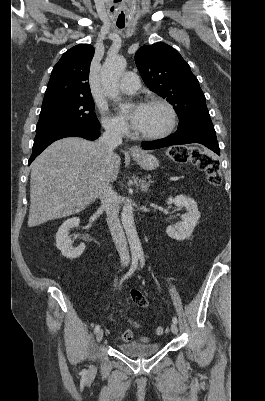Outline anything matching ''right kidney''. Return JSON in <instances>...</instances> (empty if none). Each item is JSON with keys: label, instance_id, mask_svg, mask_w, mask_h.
Returning <instances> with one entry per match:
<instances>
[{"label": "right kidney", "instance_id": "obj_1", "mask_svg": "<svg viewBox=\"0 0 265 401\" xmlns=\"http://www.w3.org/2000/svg\"><path fill=\"white\" fill-rule=\"evenodd\" d=\"M80 223L79 217H73V219H68L65 223H62L56 233V247L60 249L62 255L67 257V259H77L85 251L84 243H81L79 247H72V241L69 237L68 231L73 229V227H78Z\"/></svg>", "mask_w": 265, "mask_h": 401}]
</instances>
